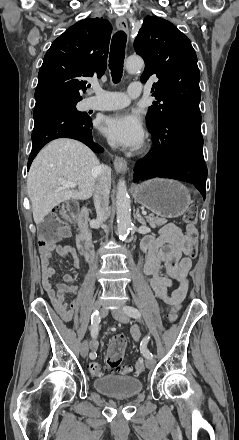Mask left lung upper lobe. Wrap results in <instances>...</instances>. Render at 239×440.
<instances>
[{
    "mask_svg": "<svg viewBox=\"0 0 239 440\" xmlns=\"http://www.w3.org/2000/svg\"><path fill=\"white\" fill-rule=\"evenodd\" d=\"M134 48L145 61L140 80L145 83L152 75L159 79L152 86L156 101L146 117L149 129L158 127L165 116L176 110L199 109L200 72L195 50L186 35L169 21L148 16Z\"/></svg>",
    "mask_w": 239,
    "mask_h": 440,
    "instance_id": "1",
    "label": "left lung upper lobe"
}]
</instances>
